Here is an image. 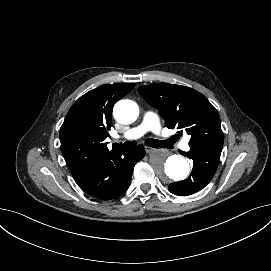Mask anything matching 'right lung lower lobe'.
Here are the masks:
<instances>
[{"label": "right lung lower lobe", "instance_id": "1", "mask_svg": "<svg viewBox=\"0 0 271 271\" xmlns=\"http://www.w3.org/2000/svg\"><path fill=\"white\" fill-rule=\"evenodd\" d=\"M144 156L143 145L128 150L112 149L74 176V180L90 196L101 200L114 199L128 189L134 166Z\"/></svg>", "mask_w": 271, "mask_h": 271}]
</instances>
